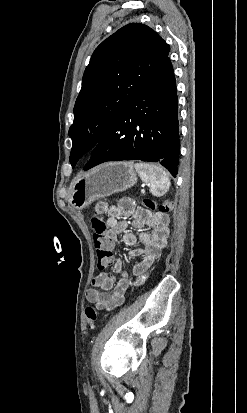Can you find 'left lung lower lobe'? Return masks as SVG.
Listing matches in <instances>:
<instances>
[{"label":"left lung lower lobe","mask_w":247,"mask_h":413,"mask_svg":"<svg viewBox=\"0 0 247 413\" xmlns=\"http://www.w3.org/2000/svg\"><path fill=\"white\" fill-rule=\"evenodd\" d=\"M178 99L167 56L112 123L84 170L107 161L158 162L175 177L180 153Z\"/></svg>","instance_id":"left-lung-lower-lobe-1"}]
</instances>
